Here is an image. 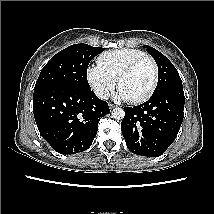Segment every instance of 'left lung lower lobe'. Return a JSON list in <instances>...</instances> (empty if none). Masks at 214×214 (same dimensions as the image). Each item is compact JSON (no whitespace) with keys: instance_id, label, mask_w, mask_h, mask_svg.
I'll list each match as a JSON object with an SVG mask.
<instances>
[{"instance_id":"1","label":"left lung lower lobe","mask_w":214,"mask_h":214,"mask_svg":"<svg viewBox=\"0 0 214 214\" xmlns=\"http://www.w3.org/2000/svg\"><path fill=\"white\" fill-rule=\"evenodd\" d=\"M185 97L182 86L152 95L145 103L125 107L121 123L128 149L138 155H162L175 140L183 121Z\"/></svg>"}]
</instances>
